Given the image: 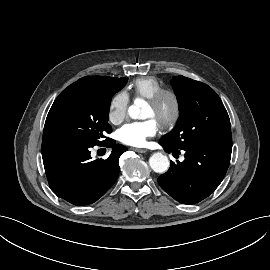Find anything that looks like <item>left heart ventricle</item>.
<instances>
[{"label":"left heart ventricle","mask_w":270,"mask_h":270,"mask_svg":"<svg viewBox=\"0 0 270 270\" xmlns=\"http://www.w3.org/2000/svg\"><path fill=\"white\" fill-rule=\"evenodd\" d=\"M171 112L172 102L169 98H166L161 104V106L157 109L147 103L145 116L146 118H155L159 122V119L168 117Z\"/></svg>","instance_id":"1"}]
</instances>
